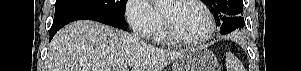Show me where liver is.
I'll return each instance as SVG.
<instances>
[{"mask_svg":"<svg viewBox=\"0 0 301 71\" xmlns=\"http://www.w3.org/2000/svg\"><path fill=\"white\" fill-rule=\"evenodd\" d=\"M185 53L165 50L140 37L94 21H76L62 28L48 48L45 71H162Z\"/></svg>","mask_w":301,"mask_h":71,"instance_id":"obj_1","label":"liver"}]
</instances>
